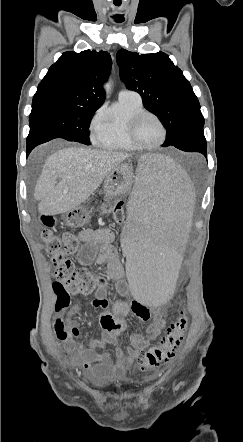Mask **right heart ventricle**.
Segmentation results:
<instances>
[{"instance_id": "1", "label": "right heart ventricle", "mask_w": 243, "mask_h": 442, "mask_svg": "<svg viewBox=\"0 0 243 442\" xmlns=\"http://www.w3.org/2000/svg\"><path fill=\"white\" fill-rule=\"evenodd\" d=\"M144 110L141 100L119 99L104 114L102 126L93 137L94 143L110 150H137L128 138V126L130 120Z\"/></svg>"}]
</instances>
